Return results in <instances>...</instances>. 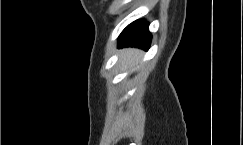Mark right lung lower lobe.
I'll use <instances>...</instances> for the list:
<instances>
[{"label":"right lung lower lobe","mask_w":243,"mask_h":145,"mask_svg":"<svg viewBox=\"0 0 243 145\" xmlns=\"http://www.w3.org/2000/svg\"><path fill=\"white\" fill-rule=\"evenodd\" d=\"M148 23L144 20H137L127 26L119 37L118 47H138L148 50L151 42V34L148 30Z\"/></svg>","instance_id":"1"}]
</instances>
